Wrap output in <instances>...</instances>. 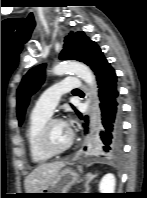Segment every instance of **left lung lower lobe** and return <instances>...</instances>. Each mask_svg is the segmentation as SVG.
<instances>
[{"mask_svg": "<svg viewBox=\"0 0 147 198\" xmlns=\"http://www.w3.org/2000/svg\"><path fill=\"white\" fill-rule=\"evenodd\" d=\"M86 64L94 71L99 88L103 130L100 133L104 157L115 159L122 153V113L118 101L117 76L99 46L94 42ZM78 116L82 119L81 113ZM88 118L85 117V125Z\"/></svg>", "mask_w": 147, "mask_h": 198, "instance_id": "0a47b994", "label": "left lung lower lobe"}]
</instances>
